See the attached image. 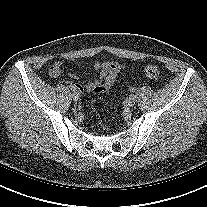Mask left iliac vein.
Segmentation results:
<instances>
[{
	"label": "left iliac vein",
	"mask_w": 207,
	"mask_h": 207,
	"mask_svg": "<svg viewBox=\"0 0 207 207\" xmlns=\"http://www.w3.org/2000/svg\"><path fill=\"white\" fill-rule=\"evenodd\" d=\"M136 102V97L135 95H130L127 99H126V105L129 107H132Z\"/></svg>",
	"instance_id": "left-iliac-vein-1"
}]
</instances>
